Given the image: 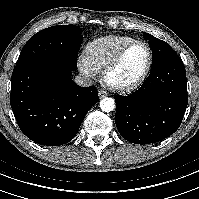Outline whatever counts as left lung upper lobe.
Wrapping results in <instances>:
<instances>
[{"label":"left lung upper lobe","instance_id":"obj_1","mask_svg":"<svg viewBox=\"0 0 199 199\" xmlns=\"http://www.w3.org/2000/svg\"><path fill=\"white\" fill-rule=\"evenodd\" d=\"M143 37L148 40L150 48L152 49V65L155 67L162 61L176 57L177 54L173 51L170 45L148 33H143Z\"/></svg>","mask_w":199,"mask_h":199}]
</instances>
